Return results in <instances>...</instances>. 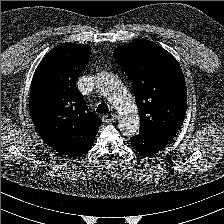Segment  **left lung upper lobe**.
<instances>
[{"mask_svg":"<svg viewBox=\"0 0 224 224\" xmlns=\"http://www.w3.org/2000/svg\"><path fill=\"white\" fill-rule=\"evenodd\" d=\"M114 57L133 82L139 130L168 143L180 129L187 108L186 83L179 63L148 40L125 44Z\"/></svg>","mask_w":224,"mask_h":224,"instance_id":"obj_1","label":"left lung upper lobe"}]
</instances>
